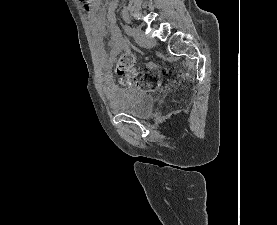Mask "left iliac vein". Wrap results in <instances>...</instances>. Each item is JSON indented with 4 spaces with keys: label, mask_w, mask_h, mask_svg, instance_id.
<instances>
[{
    "label": "left iliac vein",
    "mask_w": 277,
    "mask_h": 225,
    "mask_svg": "<svg viewBox=\"0 0 277 225\" xmlns=\"http://www.w3.org/2000/svg\"><path fill=\"white\" fill-rule=\"evenodd\" d=\"M133 37L136 43L141 47L151 48L155 45L154 40L151 39L149 36H146L143 30L139 28L133 29Z\"/></svg>",
    "instance_id": "4c4485c4"
}]
</instances>
